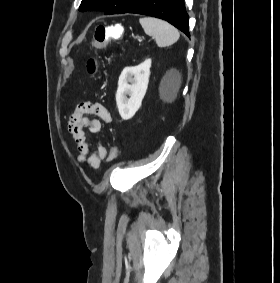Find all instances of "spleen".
Listing matches in <instances>:
<instances>
[{"label":"spleen","instance_id":"spleen-1","mask_svg":"<svg viewBox=\"0 0 280 283\" xmlns=\"http://www.w3.org/2000/svg\"><path fill=\"white\" fill-rule=\"evenodd\" d=\"M139 22L145 33L155 38L156 44L159 47L171 46L179 40V31L166 21L145 17L140 18Z\"/></svg>","mask_w":280,"mask_h":283}]
</instances>
